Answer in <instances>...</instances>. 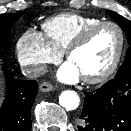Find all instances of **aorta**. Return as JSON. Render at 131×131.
Listing matches in <instances>:
<instances>
[{
  "label": "aorta",
  "mask_w": 131,
  "mask_h": 131,
  "mask_svg": "<svg viewBox=\"0 0 131 131\" xmlns=\"http://www.w3.org/2000/svg\"><path fill=\"white\" fill-rule=\"evenodd\" d=\"M60 105L68 111L75 110L80 103L79 96L76 92L65 90L59 97Z\"/></svg>",
  "instance_id": "762f6f07"
}]
</instances>
